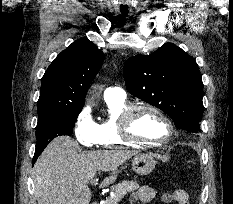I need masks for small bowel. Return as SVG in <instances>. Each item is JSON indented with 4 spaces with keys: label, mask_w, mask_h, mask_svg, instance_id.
<instances>
[{
    "label": "small bowel",
    "mask_w": 233,
    "mask_h": 204,
    "mask_svg": "<svg viewBox=\"0 0 233 204\" xmlns=\"http://www.w3.org/2000/svg\"><path fill=\"white\" fill-rule=\"evenodd\" d=\"M156 191L149 186L140 187L134 194L133 200L141 203H148L154 199ZM166 202H175L176 204H189V195L186 191L179 189L174 199H165Z\"/></svg>",
    "instance_id": "c3829d8e"
}]
</instances>
